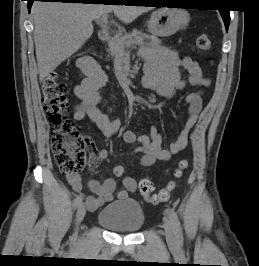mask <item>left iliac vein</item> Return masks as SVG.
<instances>
[{"label": "left iliac vein", "instance_id": "4c4485c4", "mask_svg": "<svg viewBox=\"0 0 259 266\" xmlns=\"http://www.w3.org/2000/svg\"><path fill=\"white\" fill-rule=\"evenodd\" d=\"M163 227L165 230V236H166V240H167L168 245L171 247L176 246L177 236H176L174 225L169 218H164Z\"/></svg>", "mask_w": 259, "mask_h": 266}]
</instances>
